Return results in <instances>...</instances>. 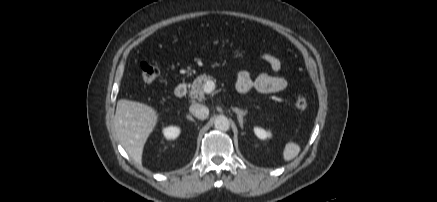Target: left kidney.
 <instances>
[{"label": "left kidney", "mask_w": 437, "mask_h": 202, "mask_svg": "<svg viewBox=\"0 0 437 202\" xmlns=\"http://www.w3.org/2000/svg\"><path fill=\"white\" fill-rule=\"evenodd\" d=\"M254 133L255 135L259 138V139H267L271 137V132L264 130L263 128L260 127H255L254 128Z\"/></svg>", "instance_id": "5707ae66"}]
</instances>
